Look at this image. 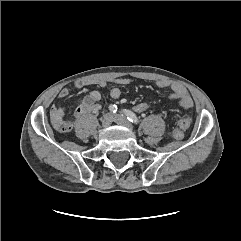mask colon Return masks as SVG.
<instances>
[{
	"mask_svg": "<svg viewBox=\"0 0 241 241\" xmlns=\"http://www.w3.org/2000/svg\"><path fill=\"white\" fill-rule=\"evenodd\" d=\"M150 109V104L147 102H139L133 106V110L137 113H145ZM63 121V116L57 113L54 117V125L57 127H61V123ZM192 124V119L190 117L181 118L178 121V128H176L173 132V136L177 140H181L183 138V131L188 129Z\"/></svg>",
	"mask_w": 241,
	"mask_h": 241,
	"instance_id": "1",
	"label": "colon"
}]
</instances>
